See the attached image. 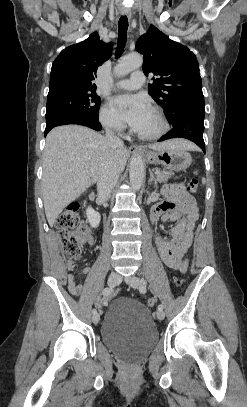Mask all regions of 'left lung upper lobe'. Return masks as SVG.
I'll use <instances>...</instances> for the list:
<instances>
[{"label": "left lung upper lobe", "instance_id": "1", "mask_svg": "<svg viewBox=\"0 0 247 407\" xmlns=\"http://www.w3.org/2000/svg\"><path fill=\"white\" fill-rule=\"evenodd\" d=\"M136 50L143 54L145 75L158 76L152 78L148 92L162 106L169 122L186 110L205 111L198 62L187 47L151 25L137 41Z\"/></svg>", "mask_w": 247, "mask_h": 407}]
</instances>
